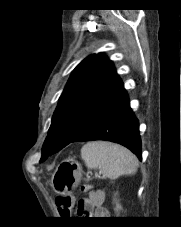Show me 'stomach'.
<instances>
[{"mask_svg":"<svg viewBox=\"0 0 181 227\" xmlns=\"http://www.w3.org/2000/svg\"><path fill=\"white\" fill-rule=\"evenodd\" d=\"M82 167L74 159L63 160L51 178V186L58 195H67L80 183Z\"/></svg>","mask_w":181,"mask_h":227,"instance_id":"stomach-1","label":"stomach"}]
</instances>
